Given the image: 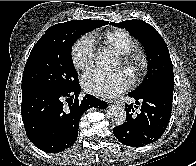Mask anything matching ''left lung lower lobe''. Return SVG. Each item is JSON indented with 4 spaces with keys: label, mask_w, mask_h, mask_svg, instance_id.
<instances>
[{
    "label": "left lung lower lobe",
    "mask_w": 196,
    "mask_h": 166,
    "mask_svg": "<svg viewBox=\"0 0 196 166\" xmlns=\"http://www.w3.org/2000/svg\"><path fill=\"white\" fill-rule=\"evenodd\" d=\"M136 104L142 102L139 114L133 115L136 105L126 106V122L113 128L114 136L124 145L141 147L158 140L171 116L173 90L153 88L139 94L129 93ZM134 107V108H133Z\"/></svg>",
    "instance_id": "1"
}]
</instances>
